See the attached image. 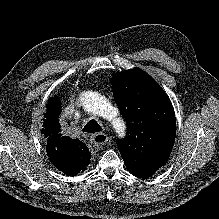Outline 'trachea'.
<instances>
[{"label": "trachea", "instance_id": "trachea-1", "mask_svg": "<svg viewBox=\"0 0 219 219\" xmlns=\"http://www.w3.org/2000/svg\"><path fill=\"white\" fill-rule=\"evenodd\" d=\"M102 130L103 128L95 119L90 120L82 129L83 132H87V133H96Z\"/></svg>", "mask_w": 219, "mask_h": 219}]
</instances>
